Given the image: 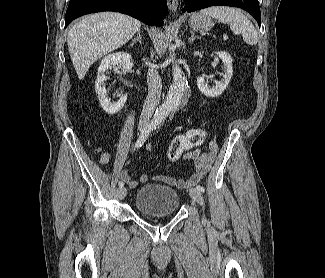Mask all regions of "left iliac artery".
<instances>
[{"label":"left iliac artery","mask_w":325,"mask_h":278,"mask_svg":"<svg viewBox=\"0 0 325 278\" xmlns=\"http://www.w3.org/2000/svg\"><path fill=\"white\" fill-rule=\"evenodd\" d=\"M195 189L198 190L199 192H204L205 191L204 187H202L200 185L196 186Z\"/></svg>","instance_id":"obj_1"}]
</instances>
